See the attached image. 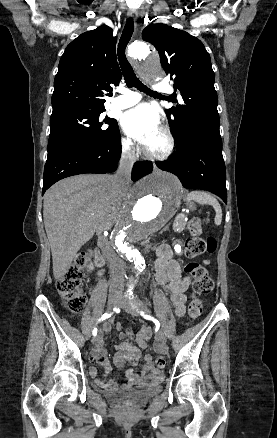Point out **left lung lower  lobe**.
<instances>
[{
    "mask_svg": "<svg viewBox=\"0 0 277 438\" xmlns=\"http://www.w3.org/2000/svg\"><path fill=\"white\" fill-rule=\"evenodd\" d=\"M219 115L203 114L192 126L177 154L156 165L175 174L187 189L210 191L227 203L226 171L219 132Z\"/></svg>",
    "mask_w": 277,
    "mask_h": 438,
    "instance_id": "left-lung-lower-lobe-1",
    "label": "left lung lower lobe"
}]
</instances>
